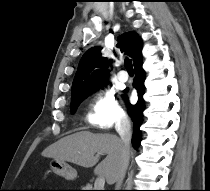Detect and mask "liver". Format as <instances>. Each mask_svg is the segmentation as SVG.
<instances>
[{
	"mask_svg": "<svg viewBox=\"0 0 210 191\" xmlns=\"http://www.w3.org/2000/svg\"><path fill=\"white\" fill-rule=\"evenodd\" d=\"M121 145V140L115 135L80 131L50 145L42 155L90 168L98 163L100 155L106 154L94 173L104 176L107 183L113 184L119 169Z\"/></svg>",
	"mask_w": 210,
	"mask_h": 191,
	"instance_id": "obj_1",
	"label": "liver"
}]
</instances>
